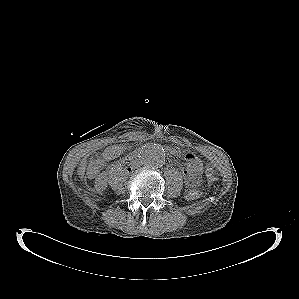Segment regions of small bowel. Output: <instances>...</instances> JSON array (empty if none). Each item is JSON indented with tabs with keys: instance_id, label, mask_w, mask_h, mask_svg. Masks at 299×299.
I'll use <instances>...</instances> for the list:
<instances>
[{
	"instance_id": "c3829d8e",
	"label": "small bowel",
	"mask_w": 299,
	"mask_h": 299,
	"mask_svg": "<svg viewBox=\"0 0 299 299\" xmlns=\"http://www.w3.org/2000/svg\"><path fill=\"white\" fill-rule=\"evenodd\" d=\"M124 151V148L122 146L113 145L108 147L104 153L103 156L107 160H112L119 155H121ZM183 175L184 180L187 186L189 187H196L200 183V177L195 176L193 173H191L186 167L183 169Z\"/></svg>"
}]
</instances>
